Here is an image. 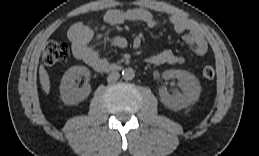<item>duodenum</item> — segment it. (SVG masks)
<instances>
[{"mask_svg":"<svg viewBox=\"0 0 259 156\" xmlns=\"http://www.w3.org/2000/svg\"><path fill=\"white\" fill-rule=\"evenodd\" d=\"M119 69L117 65H103L99 67L98 71L106 72V71H116Z\"/></svg>","mask_w":259,"mask_h":156,"instance_id":"410a0bca","label":"duodenum"}]
</instances>
